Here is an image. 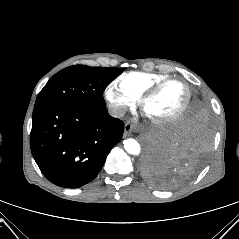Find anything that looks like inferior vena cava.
Returning a JSON list of instances; mask_svg holds the SVG:
<instances>
[{"label":"inferior vena cava","instance_id":"1","mask_svg":"<svg viewBox=\"0 0 239 239\" xmlns=\"http://www.w3.org/2000/svg\"><path fill=\"white\" fill-rule=\"evenodd\" d=\"M108 112L111 116L120 118L124 116L126 108L124 106H111L109 107Z\"/></svg>","mask_w":239,"mask_h":239}]
</instances>
